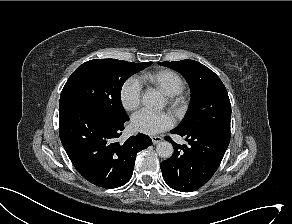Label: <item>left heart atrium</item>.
Wrapping results in <instances>:
<instances>
[{
	"instance_id": "39dd6f15",
	"label": "left heart atrium",
	"mask_w": 292,
	"mask_h": 224,
	"mask_svg": "<svg viewBox=\"0 0 292 224\" xmlns=\"http://www.w3.org/2000/svg\"><path fill=\"white\" fill-rule=\"evenodd\" d=\"M132 127L135 131L154 135L170 129L174 120L167 112H152L146 109L140 110L132 116Z\"/></svg>"
}]
</instances>
